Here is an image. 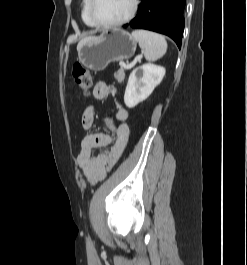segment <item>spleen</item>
Instances as JSON below:
<instances>
[{"label": "spleen", "mask_w": 247, "mask_h": 265, "mask_svg": "<svg viewBox=\"0 0 247 265\" xmlns=\"http://www.w3.org/2000/svg\"><path fill=\"white\" fill-rule=\"evenodd\" d=\"M132 37L139 43L148 61H155L161 58L167 51V42L158 33L140 29L134 30Z\"/></svg>", "instance_id": "1"}]
</instances>
